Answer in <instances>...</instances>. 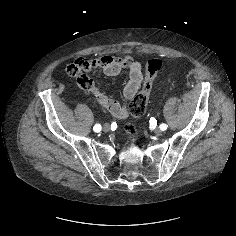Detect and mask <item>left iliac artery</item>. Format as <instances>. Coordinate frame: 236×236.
Here are the masks:
<instances>
[{
	"label": "left iliac artery",
	"instance_id": "obj_1",
	"mask_svg": "<svg viewBox=\"0 0 236 236\" xmlns=\"http://www.w3.org/2000/svg\"><path fill=\"white\" fill-rule=\"evenodd\" d=\"M167 127H168V126H167L166 124H164V123H162V124L160 125V129L163 130V131L166 130Z\"/></svg>",
	"mask_w": 236,
	"mask_h": 236
}]
</instances>
